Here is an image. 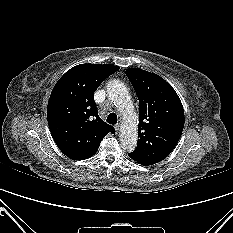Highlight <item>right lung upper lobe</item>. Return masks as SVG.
I'll return each mask as SVG.
<instances>
[{
    "instance_id": "1",
    "label": "right lung upper lobe",
    "mask_w": 233,
    "mask_h": 233,
    "mask_svg": "<svg viewBox=\"0 0 233 233\" xmlns=\"http://www.w3.org/2000/svg\"><path fill=\"white\" fill-rule=\"evenodd\" d=\"M119 69L105 64H80L68 70L54 86L47 119L59 149L73 160L96 154L101 140L115 129L98 116L94 92Z\"/></svg>"
}]
</instances>
